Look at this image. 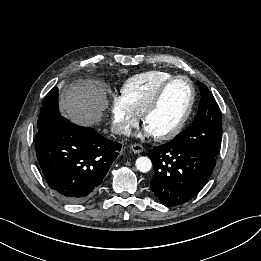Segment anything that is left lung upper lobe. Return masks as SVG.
Masks as SVG:
<instances>
[{
    "label": "left lung upper lobe",
    "instance_id": "left-lung-upper-lobe-1",
    "mask_svg": "<svg viewBox=\"0 0 261 261\" xmlns=\"http://www.w3.org/2000/svg\"><path fill=\"white\" fill-rule=\"evenodd\" d=\"M198 85L202 96L198 113L193 123L174 139L216 157L222 138L221 112L208 88L199 82Z\"/></svg>",
    "mask_w": 261,
    "mask_h": 261
}]
</instances>
